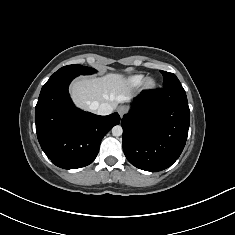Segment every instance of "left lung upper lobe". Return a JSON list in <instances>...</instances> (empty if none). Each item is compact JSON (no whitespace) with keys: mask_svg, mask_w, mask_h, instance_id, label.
<instances>
[{"mask_svg":"<svg viewBox=\"0 0 235 235\" xmlns=\"http://www.w3.org/2000/svg\"><path fill=\"white\" fill-rule=\"evenodd\" d=\"M164 77L163 87L181 86L180 81L170 72L160 71Z\"/></svg>","mask_w":235,"mask_h":235,"instance_id":"5c2ea615","label":"left lung upper lobe"}]
</instances>
